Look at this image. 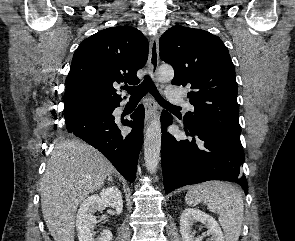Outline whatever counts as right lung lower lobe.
I'll return each instance as SVG.
<instances>
[{
    "label": "right lung lower lobe",
    "mask_w": 295,
    "mask_h": 241,
    "mask_svg": "<svg viewBox=\"0 0 295 241\" xmlns=\"http://www.w3.org/2000/svg\"><path fill=\"white\" fill-rule=\"evenodd\" d=\"M118 106L81 113L66 121V130L98 149L132 183L143 140L144 107L140 105L129 121L112 115ZM120 125L129 126L132 131L124 134L119 129Z\"/></svg>",
    "instance_id": "right-lung-lower-lobe-1"
}]
</instances>
